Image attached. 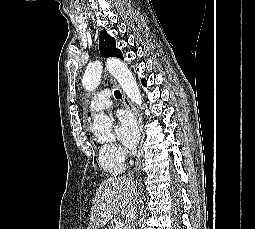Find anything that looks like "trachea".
<instances>
[{
    "label": "trachea",
    "instance_id": "obj_1",
    "mask_svg": "<svg viewBox=\"0 0 255 229\" xmlns=\"http://www.w3.org/2000/svg\"><path fill=\"white\" fill-rule=\"evenodd\" d=\"M114 95H115V97H116L117 99H121V98H122V95H121V93H120L119 90H115V91H114Z\"/></svg>",
    "mask_w": 255,
    "mask_h": 229
}]
</instances>
